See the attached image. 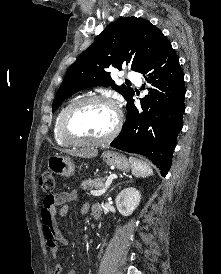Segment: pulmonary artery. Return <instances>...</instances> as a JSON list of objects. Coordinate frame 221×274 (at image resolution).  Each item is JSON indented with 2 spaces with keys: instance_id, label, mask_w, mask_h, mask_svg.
Listing matches in <instances>:
<instances>
[{
  "instance_id": "1",
  "label": "pulmonary artery",
  "mask_w": 221,
  "mask_h": 274,
  "mask_svg": "<svg viewBox=\"0 0 221 274\" xmlns=\"http://www.w3.org/2000/svg\"><path fill=\"white\" fill-rule=\"evenodd\" d=\"M127 78L133 82L140 83V76L137 72L135 71H129L127 73Z\"/></svg>"
}]
</instances>
